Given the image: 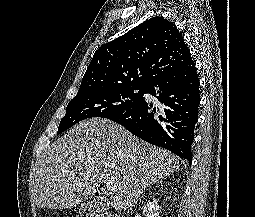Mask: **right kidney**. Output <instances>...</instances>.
Instances as JSON below:
<instances>
[{
  "mask_svg": "<svg viewBox=\"0 0 255 217\" xmlns=\"http://www.w3.org/2000/svg\"><path fill=\"white\" fill-rule=\"evenodd\" d=\"M159 208L158 201L153 200L144 206L143 213L145 214V217H159Z\"/></svg>",
  "mask_w": 255,
  "mask_h": 217,
  "instance_id": "1",
  "label": "right kidney"
}]
</instances>
